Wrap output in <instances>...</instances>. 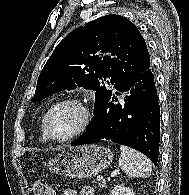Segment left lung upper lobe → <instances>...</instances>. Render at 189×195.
Listing matches in <instances>:
<instances>
[{"mask_svg": "<svg viewBox=\"0 0 189 195\" xmlns=\"http://www.w3.org/2000/svg\"><path fill=\"white\" fill-rule=\"evenodd\" d=\"M150 56L138 28L110 14L69 33L55 48L37 81L32 102L76 88L96 91L94 114L111 98L114 88L142 73Z\"/></svg>", "mask_w": 189, "mask_h": 195, "instance_id": "5c2ea615", "label": "left lung upper lobe"}]
</instances>
